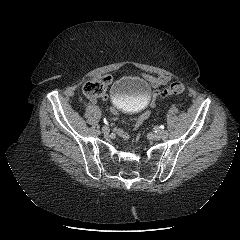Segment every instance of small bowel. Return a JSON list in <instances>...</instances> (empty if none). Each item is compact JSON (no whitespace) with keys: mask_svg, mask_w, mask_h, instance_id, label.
<instances>
[{"mask_svg":"<svg viewBox=\"0 0 240 240\" xmlns=\"http://www.w3.org/2000/svg\"><path fill=\"white\" fill-rule=\"evenodd\" d=\"M142 77L154 88V89H158L159 87L166 85L169 80L170 77L168 75L162 74L159 76H151L149 74H142ZM106 82H110L111 81V77H105ZM155 98H156V92H154L153 97H152V105H154L155 102ZM101 99L103 101H108L109 100V95L107 93H102L101 94ZM110 113L113 114L116 118H121L122 117V112L117 109L116 107H111L110 108ZM149 116L148 112H145L144 114H142L136 121V125H139L140 123H142L143 121H145ZM115 132L117 135H121V137L126 140L128 138V135L123 131L121 126H116L115 127Z\"/></svg>","mask_w":240,"mask_h":240,"instance_id":"c3829d8e","label":"small bowel"}]
</instances>
